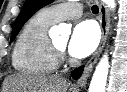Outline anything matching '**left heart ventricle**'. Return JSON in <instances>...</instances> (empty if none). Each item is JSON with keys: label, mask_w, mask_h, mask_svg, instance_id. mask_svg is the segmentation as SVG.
<instances>
[{"label": "left heart ventricle", "mask_w": 127, "mask_h": 92, "mask_svg": "<svg viewBox=\"0 0 127 92\" xmlns=\"http://www.w3.org/2000/svg\"><path fill=\"white\" fill-rule=\"evenodd\" d=\"M54 43H55L58 47L64 49L65 46H66V43H67V38L60 39V40H56V41H54Z\"/></svg>", "instance_id": "b2bd125f"}]
</instances>
